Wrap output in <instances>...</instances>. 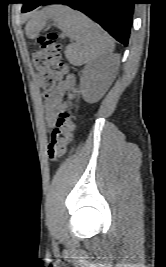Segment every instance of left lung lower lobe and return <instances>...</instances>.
I'll return each mask as SVG.
<instances>
[{
	"instance_id": "0a47b994",
	"label": "left lung lower lobe",
	"mask_w": 166,
	"mask_h": 267,
	"mask_svg": "<svg viewBox=\"0 0 166 267\" xmlns=\"http://www.w3.org/2000/svg\"><path fill=\"white\" fill-rule=\"evenodd\" d=\"M22 13L41 4H66L79 10L125 46L128 44L135 0H23Z\"/></svg>"
}]
</instances>
